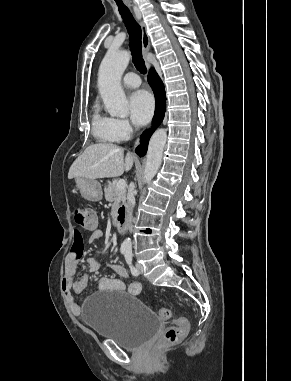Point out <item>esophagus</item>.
Masks as SVG:
<instances>
[{
    "label": "esophagus",
    "instance_id": "esophagus-1",
    "mask_svg": "<svg viewBox=\"0 0 291 381\" xmlns=\"http://www.w3.org/2000/svg\"><path fill=\"white\" fill-rule=\"evenodd\" d=\"M128 6L131 7V4L128 3ZM138 18H140L139 15H138ZM140 26H141V32H142V39H141V41H142V52H143V56H144L146 65L148 68H150V64L147 61V54L150 50V40H149V36L147 34V31H146V26L141 19H140ZM138 143H139V141H137L135 143V145H138Z\"/></svg>",
    "mask_w": 291,
    "mask_h": 381
}]
</instances>
